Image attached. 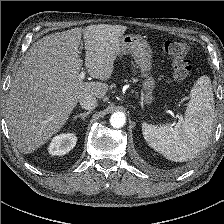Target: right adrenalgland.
<instances>
[{
  "instance_id": "2a0ac1e0",
  "label": "right adrenal gland",
  "mask_w": 224,
  "mask_h": 224,
  "mask_svg": "<svg viewBox=\"0 0 224 224\" xmlns=\"http://www.w3.org/2000/svg\"><path fill=\"white\" fill-rule=\"evenodd\" d=\"M91 113V111H88V112H83V113H80L78 115H76L73 120L75 121L77 118H81L83 121H85V117L87 115H89Z\"/></svg>"
}]
</instances>
